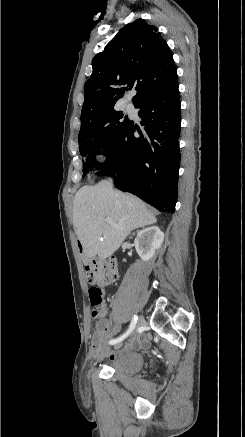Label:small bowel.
<instances>
[{
	"instance_id": "c3829d8e",
	"label": "small bowel",
	"mask_w": 245,
	"mask_h": 437,
	"mask_svg": "<svg viewBox=\"0 0 245 437\" xmlns=\"http://www.w3.org/2000/svg\"><path fill=\"white\" fill-rule=\"evenodd\" d=\"M119 331L117 324L111 325L110 322L105 319H99L97 323L96 331L93 334L91 341V354L93 357L109 356L115 358L117 352H111L106 346V342L109 338L114 336ZM141 341H136L133 346H138Z\"/></svg>"
}]
</instances>
